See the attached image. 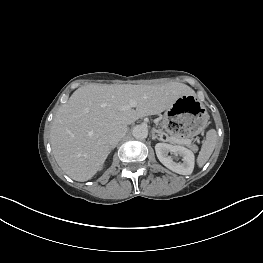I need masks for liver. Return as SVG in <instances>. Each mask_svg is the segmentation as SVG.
<instances>
[{"mask_svg":"<svg viewBox=\"0 0 263 263\" xmlns=\"http://www.w3.org/2000/svg\"><path fill=\"white\" fill-rule=\"evenodd\" d=\"M187 85L88 84L78 88L55 114L50 141L57 164L70 178L91 179L111 151L109 135L117 127L159 114L179 97L192 95ZM131 100L136 108L123 110Z\"/></svg>","mask_w":263,"mask_h":263,"instance_id":"6515ba94","label":"liver"}]
</instances>
